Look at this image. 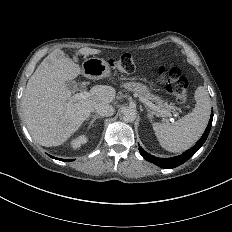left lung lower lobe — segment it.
Listing matches in <instances>:
<instances>
[{"label":"left lung lower lobe","instance_id":"obj_1","mask_svg":"<svg viewBox=\"0 0 232 232\" xmlns=\"http://www.w3.org/2000/svg\"><path fill=\"white\" fill-rule=\"evenodd\" d=\"M212 120H213V113L211 114L208 126H207L203 136L199 139V141L196 143L195 146H193L189 150L185 151L180 156H176V157H172V158H157L153 155H150L146 151H144L141 147H139V151H140L141 155L146 160H148L149 162H151V163H153L161 168H165V169L175 168V167L183 164L187 160H189L201 148V146L206 141V139L209 135V132L211 130Z\"/></svg>","mask_w":232,"mask_h":232}]
</instances>
